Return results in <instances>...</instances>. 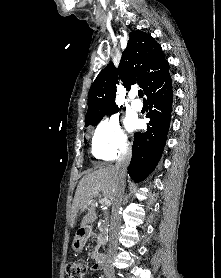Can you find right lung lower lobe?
Segmentation results:
<instances>
[{"label":"right lung lower lobe","mask_w":221,"mask_h":278,"mask_svg":"<svg viewBox=\"0 0 221 278\" xmlns=\"http://www.w3.org/2000/svg\"><path fill=\"white\" fill-rule=\"evenodd\" d=\"M150 111L147 131L135 133L128 173L135 182L144 180L162 154L172 111V80L169 72L145 92Z\"/></svg>","instance_id":"right-lung-lower-lobe-1"}]
</instances>
